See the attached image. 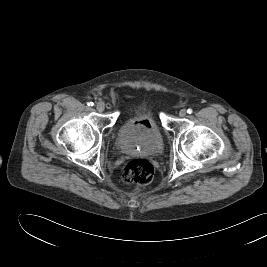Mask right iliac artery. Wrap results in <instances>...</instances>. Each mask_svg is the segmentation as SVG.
I'll return each instance as SVG.
<instances>
[{
  "label": "right iliac artery",
  "instance_id": "right-iliac-artery-1",
  "mask_svg": "<svg viewBox=\"0 0 267 267\" xmlns=\"http://www.w3.org/2000/svg\"><path fill=\"white\" fill-rule=\"evenodd\" d=\"M87 105L92 107L94 105V103L93 102H88Z\"/></svg>",
  "mask_w": 267,
  "mask_h": 267
}]
</instances>
